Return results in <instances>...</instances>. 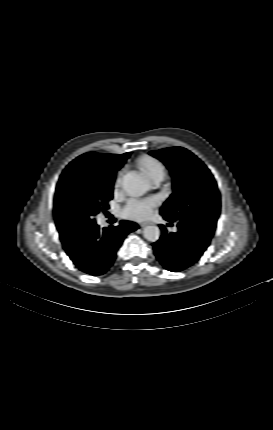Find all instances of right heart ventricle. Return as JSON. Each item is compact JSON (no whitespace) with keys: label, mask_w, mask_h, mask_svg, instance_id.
I'll use <instances>...</instances> for the list:
<instances>
[{"label":"right heart ventricle","mask_w":273,"mask_h":430,"mask_svg":"<svg viewBox=\"0 0 273 430\" xmlns=\"http://www.w3.org/2000/svg\"><path fill=\"white\" fill-rule=\"evenodd\" d=\"M138 168L151 180H154L157 176H164L165 168L163 164L152 156H142L137 160Z\"/></svg>","instance_id":"1"}]
</instances>
